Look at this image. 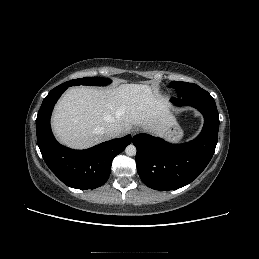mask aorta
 Wrapping results in <instances>:
<instances>
[{"instance_id":"762f6f07","label":"aorta","mask_w":259,"mask_h":259,"mask_svg":"<svg viewBox=\"0 0 259 259\" xmlns=\"http://www.w3.org/2000/svg\"><path fill=\"white\" fill-rule=\"evenodd\" d=\"M125 152L128 156L136 155V147L133 144H130L126 147Z\"/></svg>"}]
</instances>
